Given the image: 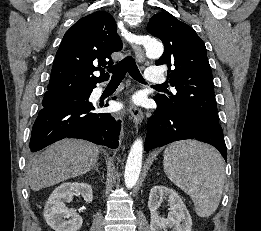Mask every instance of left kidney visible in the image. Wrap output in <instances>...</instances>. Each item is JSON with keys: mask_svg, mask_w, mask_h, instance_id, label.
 I'll return each instance as SVG.
<instances>
[{"mask_svg": "<svg viewBox=\"0 0 261 231\" xmlns=\"http://www.w3.org/2000/svg\"><path fill=\"white\" fill-rule=\"evenodd\" d=\"M164 199H168V217L160 218L157 209L161 206ZM148 208L151 214V231H192L191 216L180 198L172 189L165 186H154L149 194Z\"/></svg>", "mask_w": 261, "mask_h": 231, "instance_id": "5707ae66", "label": "left kidney"}]
</instances>
